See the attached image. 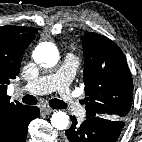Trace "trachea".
<instances>
[{
  "mask_svg": "<svg viewBox=\"0 0 142 142\" xmlns=\"http://www.w3.org/2000/svg\"><path fill=\"white\" fill-rule=\"evenodd\" d=\"M22 101L25 103V104H29V105H35L37 103V99L36 97L32 96V95H25L23 98H22ZM49 105L52 107V108H55V109H65L66 108V105L65 103H63L61 100H58V99H51L49 101Z\"/></svg>",
  "mask_w": 142,
  "mask_h": 142,
  "instance_id": "obj_1",
  "label": "trachea"
}]
</instances>
